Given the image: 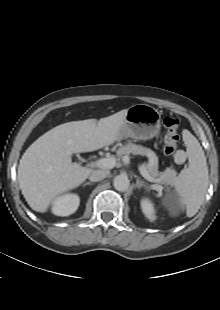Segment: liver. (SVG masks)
Here are the masks:
<instances>
[{
    "label": "liver",
    "instance_id": "6515ba94",
    "mask_svg": "<svg viewBox=\"0 0 220 310\" xmlns=\"http://www.w3.org/2000/svg\"><path fill=\"white\" fill-rule=\"evenodd\" d=\"M128 109L109 117L54 127L32 143L20 159L19 187L28 205L44 213L62 193L81 185L92 170L72 163L73 153L91 152L120 139Z\"/></svg>",
    "mask_w": 220,
    "mask_h": 310
}]
</instances>
